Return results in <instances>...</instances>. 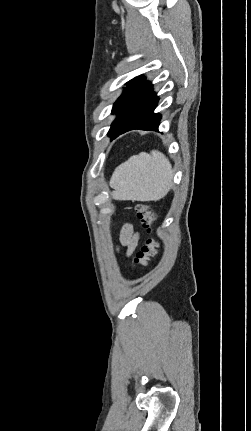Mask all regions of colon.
I'll list each match as a JSON object with an SVG mask.
<instances>
[{"label": "colon", "instance_id": "5ec220e1", "mask_svg": "<svg viewBox=\"0 0 251 431\" xmlns=\"http://www.w3.org/2000/svg\"><path fill=\"white\" fill-rule=\"evenodd\" d=\"M136 214L147 232L152 233L154 222L156 221V214L146 204L137 205ZM158 248L159 242L154 237L148 238L133 259L134 269L140 270L145 268L150 260L156 256Z\"/></svg>", "mask_w": 251, "mask_h": 431}]
</instances>
